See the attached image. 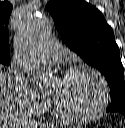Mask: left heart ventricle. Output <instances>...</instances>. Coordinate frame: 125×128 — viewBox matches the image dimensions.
<instances>
[{"instance_id":"obj_1","label":"left heart ventricle","mask_w":125,"mask_h":128,"mask_svg":"<svg viewBox=\"0 0 125 128\" xmlns=\"http://www.w3.org/2000/svg\"><path fill=\"white\" fill-rule=\"evenodd\" d=\"M50 93L69 113H86L98 107L101 87L98 80L87 72L56 78Z\"/></svg>"}]
</instances>
